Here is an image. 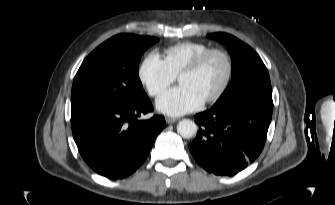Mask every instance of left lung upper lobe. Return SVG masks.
I'll use <instances>...</instances> for the list:
<instances>
[{
  "mask_svg": "<svg viewBox=\"0 0 335 205\" xmlns=\"http://www.w3.org/2000/svg\"><path fill=\"white\" fill-rule=\"evenodd\" d=\"M222 42L231 55L232 79L214 106L251 100L273 106L268 71L259 55L247 44L227 33L208 35Z\"/></svg>",
  "mask_w": 335,
  "mask_h": 205,
  "instance_id": "obj_1",
  "label": "left lung upper lobe"
}]
</instances>
